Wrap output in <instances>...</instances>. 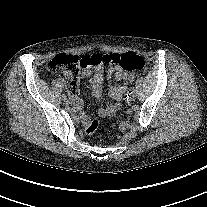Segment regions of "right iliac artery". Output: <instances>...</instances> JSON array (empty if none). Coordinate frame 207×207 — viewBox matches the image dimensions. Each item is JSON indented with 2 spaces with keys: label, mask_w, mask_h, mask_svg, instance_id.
Wrapping results in <instances>:
<instances>
[{
  "label": "right iliac artery",
  "mask_w": 207,
  "mask_h": 207,
  "mask_svg": "<svg viewBox=\"0 0 207 207\" xmlns=\"http://www.w3.org/2000/svg\"><path fill=\"white\" fill-rule=\"evenodd\" d=\"M62 98L64 101L67 99V97L65 95H63Z\"/></svg>",
  "instance_id": "1"
}]
</instances>
